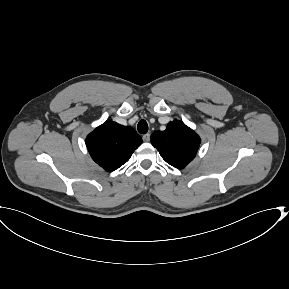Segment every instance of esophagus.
Here are the masks:
<instances>
[{"label": "esophagus", "mask_w": 289, "mask_h": 289, "mask_svg": "<svg viewBox=\"0 0 289 289\" xmlns=\"http://www.w3.org/2000/svg\"><path fill=\"white\" fill-rule=\"evenodd\" d=\"M142 139L144 142H149L150 141V134L147 133V134L143 135Z\"/></svg>", "instance_id": "1"}]
</instances>
